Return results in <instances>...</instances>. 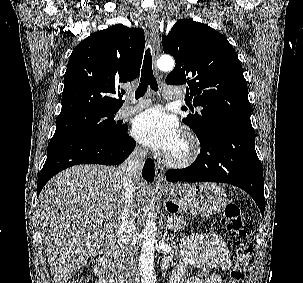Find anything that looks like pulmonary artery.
<instances>
[{
  "instance_id": "1",
  "label": "pulmonary artery",
  "mask_w": 303,
  "mask_h": 283,
  "mask_svg": "<svg viewBox=\"0 0 303 283\" xmlns=\"http://www.w3.org/2000/svg\"><path fill=\"white\" fill-rule=\"evenodd\" d=\"M182 94L183 91L179 87L166 86L163 96L165 99L173 100L180 98ZM150 104L151 101L149 99H139L134 101L133 94L129 93V101L120 108L118 114L120 117H128L148 107Z\"/></svg>"
}]
</instances>
